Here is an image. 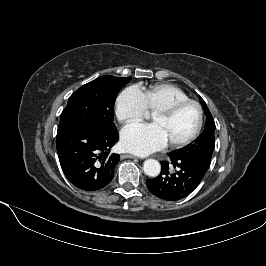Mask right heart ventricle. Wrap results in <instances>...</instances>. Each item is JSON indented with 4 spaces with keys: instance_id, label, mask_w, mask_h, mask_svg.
Here are the masks:
<instances>
[{
    "instance_id": "1",
    "label": "right heart ventricle",
    "mask_w": 266,
    "mask_h": 266,
    "mask_svg": "<svg viewBox=\"0 0 266 266\" xmlns=\"http://www.w3.org/2000/svg\"><path fill=\"white\" fill-rule=\"evenodd\" d=\"M148 111L154 113L175 102L184 101L188 96L178 87L171 84H156L141 89Z\"/></svg>"
}]
</instances>
